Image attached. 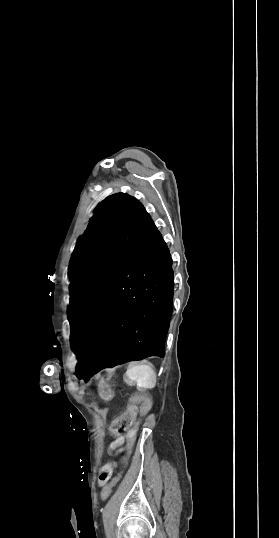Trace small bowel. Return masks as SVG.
<instances>
[{
  "label": "small bowel",
  "instance_id": "obj_1",
  "mask_svg": "<svg viewBox=\"0 0 279 538\" xmlns=\"http://www.w3.org/2000/svg\"><path fill=\"white\" fill-rule=\"evenodd\" d=\"M124 443V438H119L116 442H115V445L116 446H121L122 444ZM99 483L102 485L104 484V482H100Z\"/></svg>",
  "mask_w": 279,
  "mask_h": 538
}]
</instances>
